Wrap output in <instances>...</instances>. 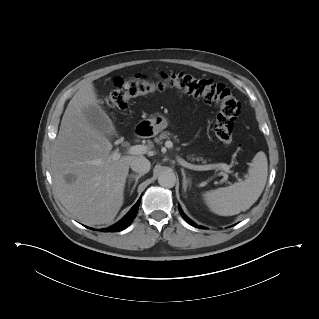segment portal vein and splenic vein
<instances>
[{
    "label": "portal vein and splenic vein",
    "mask_w": 319,
    "mask_h": 319,
    "mask_svg": "<svg viewBox=\"0 0 319 319\" xmlns=\"http://www.w3.org/2000/svg\"><path fill=\"white\" fill-rule=\"evenodd\" d=\"M165 146L168 149L173 148V143L171 141H166ZM148 152V146L146 145H134L128 148V154L131 155H140V154H146ZM113 160H118L120 158V153L119 152H114L112 155ZM178 162L185 168L192 169V170H198V171H207V170H212V169H221L225 171L226 173H233L230 170L229 165L225 163H218V164H212V165H194L191 163H188L182 158H178ZM224 173V180H227L228 175ZM237 177V175H235ZM240 180V179H239Z\"/></svg>",
    "instance_id": "18ae733b"
}]
</instances>
